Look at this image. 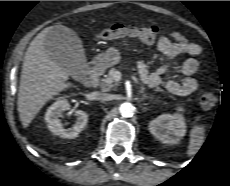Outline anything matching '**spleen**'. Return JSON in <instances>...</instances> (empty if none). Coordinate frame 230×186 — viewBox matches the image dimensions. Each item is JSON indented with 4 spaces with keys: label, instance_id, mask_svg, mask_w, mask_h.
I'll return each mask as SVG.
<instances>
[{
    "label": "spleen",
    "instance_id": "spleen-1",
    "mask_svg": "<svg viewBox=\"0 0 230 186\" xmlns=\"http://www.w3.org/2000/svg\"><path fill=\"white\" fill-rule=\"evenodd\" d=\"M204 129L203 127L195 126L190 133V142L188 146V155L194 154L204 141Z\"/></svg>",
    "mask_w": 230,
    "mask_h": 186
}]
</instances>
